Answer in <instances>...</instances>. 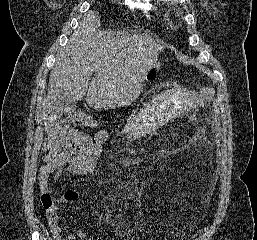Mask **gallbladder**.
Wrapping results in <instances>:
<instances>
[{
  "label": "gallbladder",
  "instance_id": "gallbladder-1",
  "mask_svg": "<svg viewBox=\"0 0 257 240\" xmlns=\"http://www.w3.org/2000/svg\"><path fill=\"white\" fill-rule=\"evenodd\" d=\"M76 108L77 102L69 100L63 93H61L53 110L58 116H67L74 112Z\"/></svg>",
  "mask_w": 257,
  "mask_h": 240
}]
</instances>
